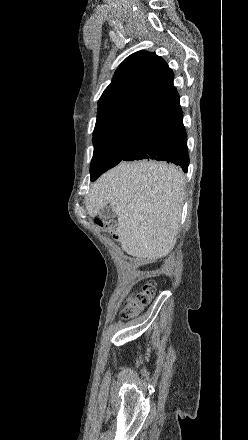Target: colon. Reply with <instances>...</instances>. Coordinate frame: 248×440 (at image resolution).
<instances>
[{"mask_svg":"<svg viewBox=\"0 0 248 440\" xmlns=\"http://www.w3.org/2000/svg\"><path fill=\"white\" fill-rule=\"evenodd\" d=\"M96 223L107 232H112L114 229V224L110 221L97 220ZM154 293V284L152 282L146 283L141 290L128 299L123 308L122 317L129 320L139 315L149 305Z\"/></svg>","mask_w":248,"mask_h":440,"instance_id":"obj_1","label":"colon"}]
</instances>
